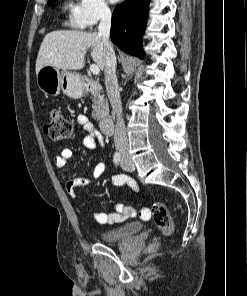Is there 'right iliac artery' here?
I'll list each match as a JSON object with an SVG mask.
<instances>
[{"label":"right iliac artery","instance_id":"obj_1","mask_svg":"<svg viewBox=\"0 0 247 296\" xmlns=\"http://www.w3.org/2000/svg\"><path fill=\"white\" fill-rule=\"evenodd\" d=\"M120 160H121V154L120 153H115L114 156H113V161H114L115 165H118Z\"/></svg>","mask_w":247,"mask_h":296}]
</instances>
